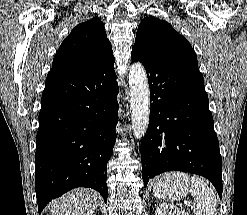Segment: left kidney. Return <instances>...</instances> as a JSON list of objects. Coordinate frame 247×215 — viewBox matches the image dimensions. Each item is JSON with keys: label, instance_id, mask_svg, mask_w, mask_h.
<instances>
[{"label": "left kidney", "instance_id": "1", "mask_svg": "<svg viewBox=\"0 0 247 215\" xmlns=\"http://www.w3.org/2000/svg\"><path fill=\"white\" fill-rule=\"evenodd\" d=\"M155 215H189L184 210H180V208L172 205L161 203L157 206Z\"/></svg>", "mask_w": 247, "mask_h": 215}]
</instances>
